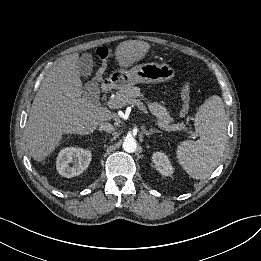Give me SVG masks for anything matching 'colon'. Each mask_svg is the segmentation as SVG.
Here are the masks:
<instances>
[{"instance_id":"1","label":"colon","mask_w":261,"mask_h":261,"mask_svg":"<svg viewBox=\"0 0 261 261\" xmlns=\"http://www.w3.org/2000/svg\"><path fill=\"white\" fill-rule=\"evenodd\" d=\"M108 57H109V52H108L107 50H105V51L100 55V58H101V59H107ZM182 94H183L184 96H190V88H189L188 85H185V86L183 87V89H182ZM180 114H181L182 116H185V115L187 114V112H186L183 108H181Z\"/></svg>"}]
</instances>
